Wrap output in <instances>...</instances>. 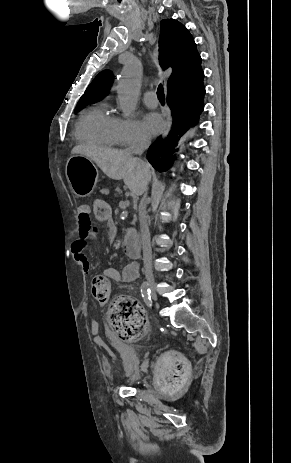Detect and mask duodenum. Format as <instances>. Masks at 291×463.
<instances>
[{"label":"duodenum","instance_id":"1","mask_svg":"<svg viewBox=\"0 0 291 463\" xmlns=\"http://www.w3.org/2000/svg\"><path fill=\"white\" fill-rule=\"evenodd\" d=\"M125 252L132 258L136 259L140 255V236L133 228H128L126 238L123 242ZM135 265V264H134Z\"/></svg>","mask_w":291,"mask_h":463}]
</instances>
